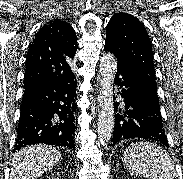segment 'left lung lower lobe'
I'll use <instances>...</instances> for the list:
<instances>
[{
    "label": "left lung lower lobe",
    "instance_id": "1",
    "mask_svg": "<svg viewBox=\"0 0 183 179\" xmlns=\"http://www.w3.org/2000/svg\"><path fill=\"white\" fill-rule=\"evenodd\" d=\"M115 85L120 87L117 94L124 98L125 113L119 114V110L115 114L112 145L124 139L142 138L159 141L169 147L160 108L151 99L137 74L118 62ZM118 106L119 103H116V110Z\"/></svg>",
    "mask_w": 183,
    "mask_h": 179
}]
</instances>
